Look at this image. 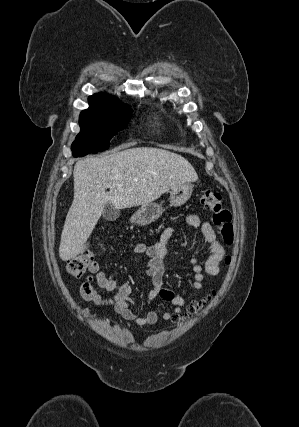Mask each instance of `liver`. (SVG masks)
Returning a JSON list of instances; mask_svg holds the SVG:
<instances>
[{
    "label": "liver",
    "mask_w": 299,
    "mask_h": 427,
    "mask_svg": "<svg viewBox=\"0 0 299 427\" xmlns=\"http://www.w3.org/2000/svg\"><path fill=\"white\" fill-rule=\"evenodd\" d=\"M73 178L74 199L59 246L63 261L84 252L85 243L106 204H112L115 209L148 204L176 185L197 181L198 176L188 160L179 154L138 147L102 158L80 159L74 166Z\"/></svg>",
    "instance_id": "1"
}]
</instances>
